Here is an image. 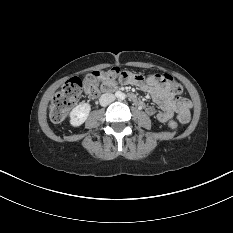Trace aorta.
Returning <instances> with one entry per match:
<instances>
[{
  "label": "aorta",
  "instance_id": "762f6f07",
  "mask_svg": "<svg viewBox=\"0 0 233 233\" xmlns=\"http://www.w3.org/2000/svg\"><path fill=\"white\" fill-rule=\"evenodd\" d=\"M116 96H117V98H119V99H123L125 95H124V93L118 91V92H116Z\"/></svg>",
  "mask_w": 233,
  "mask_h": 233
}]
</instances>
